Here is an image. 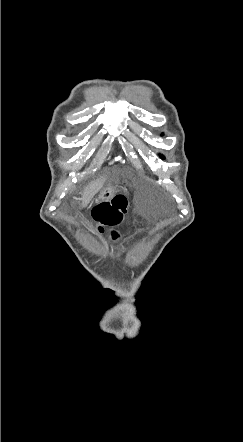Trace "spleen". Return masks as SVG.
<instances>
[{
  "label": "spleen",
  "instance_id": "spleen-1",
  "mask_svg": "<svg viewBox=\"0 0 243 442\" xmlns=\"http://www.w3.org/2000/svg\"><path fill=\"white\" fill-rule=\"evenodd\" d=\"M136 199H137V200H140V199H141V196H140V195H137V196H136Z\"/></svg>",
  "mask_w": 243,
  "mask_h": 442
}]
</instances>
